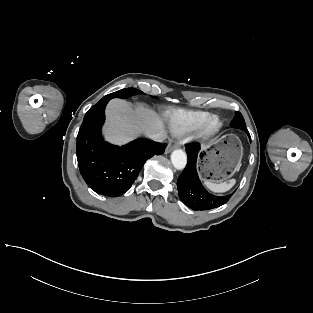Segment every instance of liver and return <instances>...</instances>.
Listing matches in <instances>:
<instances>
[{"instance_id":"6515ba94","label":"liver","mask_w":313,"mask_h":313,"mask_svg":"<svg viewBox=\"0 0 313 313\" xmlns=\"http://www.w3.org/2000/svg\"><path fill=\"white\" fill-rule=\"evenodd\" d=\"M106 116L105 136L114 144H124L140 133L164 131L163 120L158 114L142 105L133 109L125 100H111Z\"/></svg>"}]
</instances>
